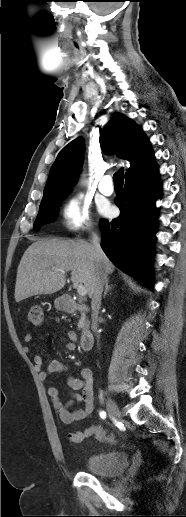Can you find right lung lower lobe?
<instances>
[{
  "label": "right lung lower lobe",
  "instance_id": "1",
  "mask_svg": "<svg viewBox=\"0 0 186 517\" xmlns=\"http://www.w3.org/2000/svg\"><path fill=\"white\" fill-rule=\"evenodd\" d=\"M158 168L153 162L126 177L125 189L115 198L120 216L101 221V247L123 272L152 290L153 275L149 248L155 233V202L160 198Z\"/></svg>",
  "mask_w": 186,
  "mask_h": 517
}]
</instances>
